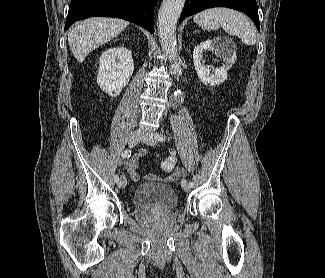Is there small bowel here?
<instances>
[{
	"label": "small bowel",
	"mask_w": 325,
	"mask_h": 278,
	"mask_svg": "<svg viewBox=\"0 0 325 278\" xmlns=\"http://www.w3.org/2000/svg\"><path fill=\"white\" fill-rule=\"evenodd\" d=\"M147 154L146 149H141L139 152L133 156L129 162L127 163V173L129 174L130 178L134 182H138L140 180V174L138 173V164L139 159ZM185 175V172L181 169H177L168 180H178L181 176ZM148 178H155L154 175H148Z\"/></svg>",
	"instance_id": "small-bowel-1"
}]
</instances>
